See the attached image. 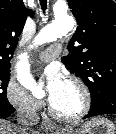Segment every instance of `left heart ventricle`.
<instances>
[{
	"label": "left heart ventricle",
	"mask_w": 116,
	"mask_h": 134,
	"mask_svg": "<svg viewBox=\"0 0 116 134\" xmlns=\"http://www.w3.org/2000/svg\"><path fill=\"white\" fill-rule=\"evenodd\" d=\"M52 106L61 113L73 114L81 107L80 94L73 86L66 83L62 95Z\"/></svg>",
	"instance_id": "1"
}]
</instances>
